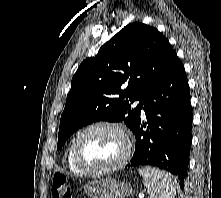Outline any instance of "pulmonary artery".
Segmentation results:
<instances>
[{
  "label": "pulmonary artery",
  "instance_id": "obj_1",
  "mask_svg": "<svg viewBox=\"0 0 221 198\" xmlns=\"http://www.w3.org/2000/svg\"><path fill=\"white\" fill-rule=\"evenodd\" d=\"M135 104H136V105L139 104V101H136ZM142 112H144V111L142 110Z\"/></svg>",
  "mask_w": 221,
  "mask_h": 198
}]
</instances>
